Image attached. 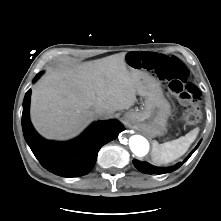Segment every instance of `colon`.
<instances>
[{"mask_svg": "<svg viewBox=\"0 0 221 221\" xmlns=\"http://www.w3.org/2000/svg\"><path fill=\"white\" fill-rule=\"evenodd\" d=\"M130 64L138 69L153 71L154 75L165 82L168 91L180 102L183 115L190 123L200 119V111L196 105L198 92L189 81V71L185 64L174 56L157 53L133 54Z\"/></svg>", "mask_w": 221, "mask_h": 221, "instance_id": "colon-1", "label": "colon"}]
</instances>
